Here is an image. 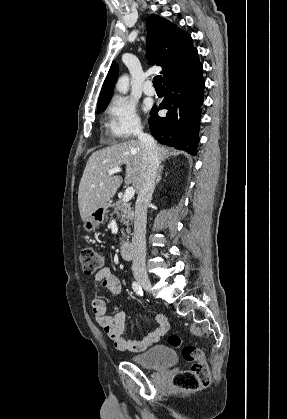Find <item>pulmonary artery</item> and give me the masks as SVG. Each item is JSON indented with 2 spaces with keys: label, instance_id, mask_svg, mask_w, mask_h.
<instances>
[{
  "label": "pulmonary artery",
  "instance_id": "e3ab8cb5",
  "mask_svg": "<svg viewBox=\"0 0 287 419\" xmlns=\"http://www.w3.org/2000/svg\"><path fill=\"white\" fill-rule=\"evenodd\" d=\"M143 91L148 96L155 95V89L152 86V82L150 80H147L143 85Z\"/></svg>",
  "mask_w": 287,
  "mask_h": 419
}]
</instances>
